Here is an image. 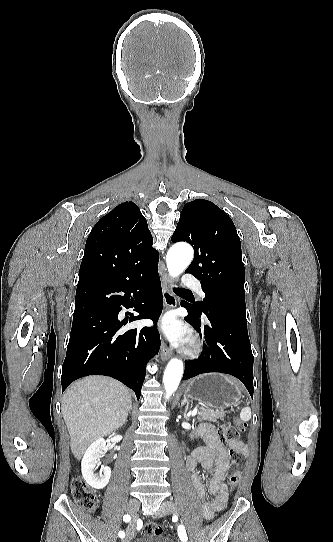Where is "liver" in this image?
<instances>
[{
	"instance_id": "1",
	"label": "liver",
	"mask_w": 333,
	"mask_h": 542,
	"mask_svg": "<svg viewBox=\"0 0 333 542\" xmlns=\"http://www.w3.org/2000/svg\"><path fill=\"white\" fill-rule=\"evenodd\" d=\"M129 390L106 376H87L74 382L62 400V416L70 434V448L81 460L86 448L127 422Z\"/></svg>"
}]
</instances>
